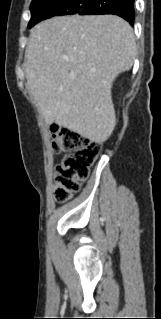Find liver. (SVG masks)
Masks as SVG:
<instances>
[{"instance_id": "obj_1", "label": "liver", "mask_w": 161, "mask_h": 319, "mask_svg": "<svg viewBox=\"0 0 161 319\" xmlns=\"http://www.w3.org/2000/svg\"><path fill=\"white\" fill-rule=\"evenodd\" d=\"M131 26L115 15L54 17L31 31L27 84L47 124L105 142L116 118L111 88L136 57Z\"/></svg>"}]
</instances>
